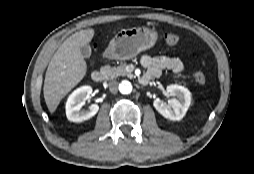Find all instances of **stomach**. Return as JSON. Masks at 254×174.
I'll list each match as a JSON object with an SVG mask.
<instances>
[{"mask_svg": "<svg viewBox=\"0 0 254 174\" xmlns=\"http://www.w3.org/2000/svg\"><path fill=\"white\" fill-rule=\"evenodd\" d=\"M157 39V32L148 27L122 29L110 41L104 55L109 59L128 60L153 47Z\"/></svg>", "mask_w": 254, "mask_h": 174, "instance_id": "1", "label": "stomach"}]
</instances>
